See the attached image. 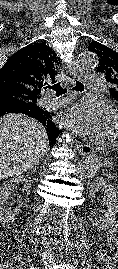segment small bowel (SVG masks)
I'll list each match as a JSON object with an SVG mask.
<instances>
[{"instance_id": "obj_1", "label": "small bowel", "mask_w": 118, "mask_h": 269, "mask_svg": "<svg viewBox=\"0 0 118 269\" xmlns=\"http://www.w3.org/2000/svg\"><path fill=\"white\" fill-rule=\"evenodd\" d=\"M118 221H116L112 230H110L107 234V239L110 245L118 250Z\"/></svg>"}]
</instances>
